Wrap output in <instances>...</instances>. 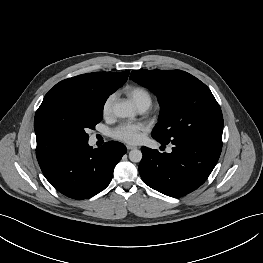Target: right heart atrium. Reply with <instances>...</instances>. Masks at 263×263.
Segmentation results:
<instances>
[{
  "mask_svg": "<svg viewBox=\"0 0 263 263\" xmlns=\"http://www.w3.org/2000/svg\"><path fill=\"white\" fill-rule=\"evenodd\" d=\"M114 99H115V96L111 94L107 96L105 100L103 101L101 111H102V115L106 118L112 115Z\"/></svg>",
  "mask_w": 263,
  "mask_h": 263,
  "instance_id": "1",
  "label": "right heart atrium"
}]
</instances>
